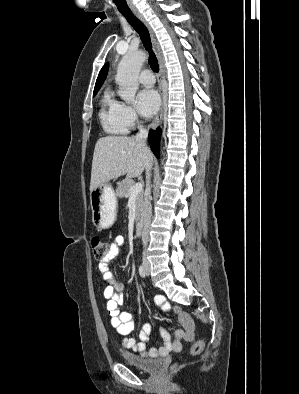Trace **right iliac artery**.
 Wrapping results in <instances>:
<instances>
[{
	"label": "right iliac artery",
	"instance_id": "1",
	"mask_svg": "<svg viewBox=\"0 0 299 394\" xmlns=\"http://www.w3.org/2000/svg\"><path fill=\"white\" fill-rule=\"evenodd\" d=\"M139 274H140V276L143 277V278L146 276V272H145V269H144V266H143V265H140V266H139Z\"/></svg>",
	"mask_w": 299,
	"mask_h": 394
}]
</instances>
